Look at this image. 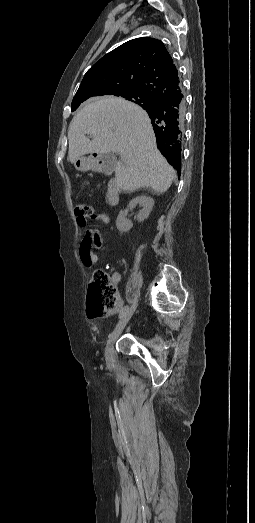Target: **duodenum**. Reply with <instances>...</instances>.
<instances>
[{
    "label": "duodenum",
    "mask_w": 255,
    "mask_h": 523,
    "mask_svg": "<svg viewBox=\"0 0 255 523\" xmlns=\"http://www.w3.org/2000/svg\"><path fill=\"white\" fill-rule=\"evenodd\" d=\"M83 168L88 171H94L109 175L112 173L111 164L101 155H90L83 160ZM119 185L118 182L113 179L109 183L107 200L108 203L112 206H115L119 203Z\"/></svg>",
    "instance_id": "duodenum-1"
}]
</instances>
